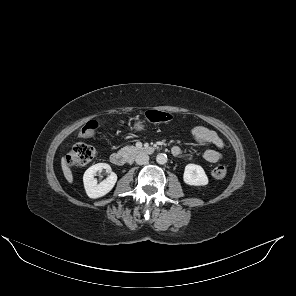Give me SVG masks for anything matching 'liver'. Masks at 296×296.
<instances>
[{
	"label": "liver",
	"instance_id": "obj_1",
	"mask_svg": "<svg viewBox=\"0 0 296 296\" xmlns=\"http://www.w3.org/2000/svg\"><path fill=\"white\" fill-rule=\"evenodd\" d=\"M61 166H62L63 174H64V177L66 178V180L69 183H73V174H72V171L70 170V168H69V166L67 164V161H66L65 157H63L61 159Z\"/></svg>",
	"mask_w": 296,
	"mask_h": 296
}]
</instances>
